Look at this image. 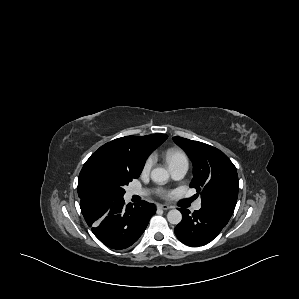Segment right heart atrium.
I'll use <instances>...</instances> for the list:
<instances>
[{
	"mask_svg": "<svg viewBox=\"0 0 299 299\" xmlns=\"http://www.w3.org/2000/svg\"><path fill=\"white\" fill-rule=\"evenodd\" d=\"M154 163V158L152 156L148 157L143 165V173H149Z\"/></svg>",
	"mask_w": 299,
	"mask_h": 299,
	"instance_id": "obj_1",
	"label": "right heart atrium"
}]
</instances>
